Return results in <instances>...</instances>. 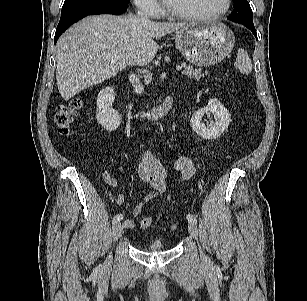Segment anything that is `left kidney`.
<instances>
[{
    "label": "left kidney",
    "mask_w": 307,
    "mask_h": 301,
    "mask_svg": "<svg viewBox=\"0 0 307 301\" xmlns=\"http://www.w3.org/2000/svg\"><path fill=\"white\" fill-rule=\"evenodd\" d=\"M206 112L214 114L215 122L210 127H206L201 121ZM230 122L229 111L217 99H210L207 107L196 111L191 118L192 129L200 137L207 140L218 138L228 128Z\"/></svg>",
    "instance_id": "obj_1"
}]
</instances>
